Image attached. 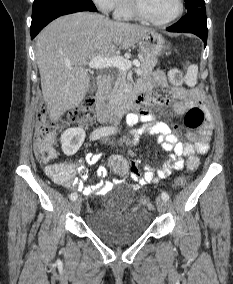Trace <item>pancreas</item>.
Returning <instances> with one entry per match:
<instances>
[{"label":"pancreas","mask_w":233,"mask_h":284,"mask_svg":"<svg viewBox=\"0 0 233 284\" xmlns=\"http://www.w3.org/2000/svg\"><path fill=\"white\" fill-rule=\"evenodd\" d=\"M141 64L138 68V72L141 75H148L152 73L153 67L156 65V60L146 57L143 54L140 56ZM127 71L119 70L116 76V80L113 82V86L109 87L106 93V99L109 101L111 107L125 105L130 99V83L126 81Z\"/></svg>","instance_id":"1"}]
</instances>
